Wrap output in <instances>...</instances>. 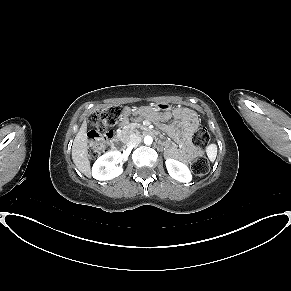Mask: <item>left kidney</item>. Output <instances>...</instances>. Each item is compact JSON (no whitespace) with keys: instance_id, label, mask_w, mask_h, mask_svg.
Instances as JSON below:
<instances>
[{"instance_id":"1","label":"left kidney","mask_w":291,"mask_h":291,"mask_svg":"<svg viewBox=\"0 0 291 291\" xmlns=\"http://www.w3.org/2000/svg\"><path fill=\"white\" fill-rule=\"evenodd\" d=\"M165 163L169 175L175 180L183 183H188L192 180L189 168L182 162L174 159H167Z\"/></svg>"}]
</instances>
